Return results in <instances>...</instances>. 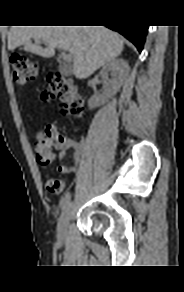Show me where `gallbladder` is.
Masks as SVG:
<instances>
[{
	"label": "gallbladder",
	"instance_id": "obj_1",
	"mask_svg": "<svg viewBox=\"0 0 184 292\" xmlns=\"http://www.w3.org/2000/svg\"><path fill=\"white\" fill-rule=\"evenodd\" d=\"M59 71H60L61 74H63V75H70V73H71L70 67H68V66H64V65H60V66H59Z\"/></svg>",
	"mask_w": 184,
	"mask_h": 292
}]
</instances>
